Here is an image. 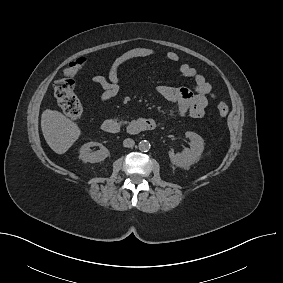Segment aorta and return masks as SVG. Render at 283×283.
Segmentation results:
<instances>
[{
	"label": "aorta",
	"instance_id": "762f6f07",
	"mask_svg": "<svg viewBox=\"0 0 283 283\" xmlns=\"http://www.w3.org/2000/svg\"><path fill=\"white\" fill-rule=\"evenodd\" d=\"M150 142L147 140H141L138 144V147L141 151L147 152L150 150Z\"/></svg>",
	"mask_w": 283,
	"mask_h": 283
}]
</instances>
